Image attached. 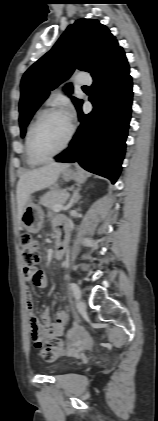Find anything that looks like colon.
<instances>
[{
	"label": "colon",
	"instance_id": "colon-1",
	"mask_svg": "<svg viewBox=\"0 0 158 421\" xmlns=\"http://www.w3.org/2000/svg\"><path fill=\"white\" fill-rule=\"evenodd\" d=\"M21 255L24 267L35 268L40 259L39 245L28 233L20 237ZM42 347V346H41ZM64 341L59 337H52L41 351V356L46 362H53L63 352Z\"/></svg>",
	"mask_w": 158,
	"mask_h": 421
}]
</instances>
